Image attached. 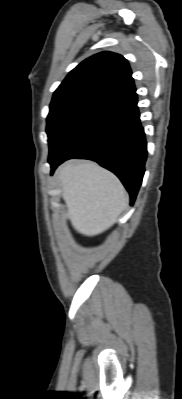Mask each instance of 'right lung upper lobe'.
Masks as SVG:
<instances>
[{
    "mask_svg": "<svg viewBox=\"0 0 182 399\" xmlns=\"http://www.w3.org/2000/svg\"><path fill=\"white\" fill-rule=\"evenodd\" d=\"M135 90L127 60L116 53L102 52L74 68L53 97L87 95L108 102Z\"/></svg>",
    "mask_w": 182,
    "mask_h": 399,
    "instance_id": "1",
    "label": "right lung upper lobe"
}]
</instances>
